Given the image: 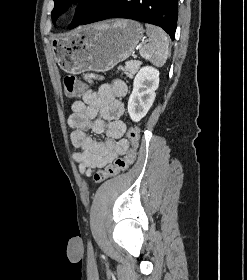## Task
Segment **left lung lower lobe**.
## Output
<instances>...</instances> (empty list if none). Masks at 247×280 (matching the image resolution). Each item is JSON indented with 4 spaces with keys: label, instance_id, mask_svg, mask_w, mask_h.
<instances>
[{
    "label": "left lung lower lobe",
    "instance_id": "left-lung-lower-lobe-1",
    "mask_svg": "<svg viewBox=\"0 0 247 280\" xmlns=\"http://www.w3.org/2000/svg\"><path fill=\"white\" fill-rule=\"evenodd\" d=\"M109 18H128L160 26L174 40L178 19V0H106L79 25ZM68 28L74 27L69 25Z\"/></svg>",
    "mask_w": 247,
    "mask_h": 280
}]
</instances>
